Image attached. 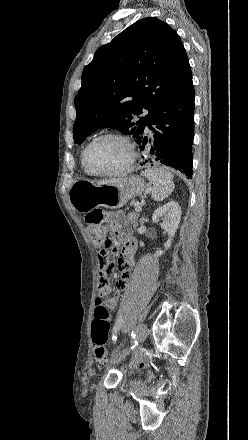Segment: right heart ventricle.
Segmentation results:
<instances>
[{
    "instance_id": "obj_1",
    "label": "right heart ventricle",
    "mask_w": 248,
    "mask_h": 440,
    "mask_svg": "<svg viewBox=\"0 0 248 440\" xmlns=\"http://www.w3.org/2000/svg\"><path fill=\"white\" fill-rule=\"evenodd\" d=\"M84 150H85V149H84ZM84 150H83L82 153H81V168H82V170H83L84 173L89 174V173L87 172V170L85 169L84 164H83V153H84Z\"/></svg>"
}]
</instances>
